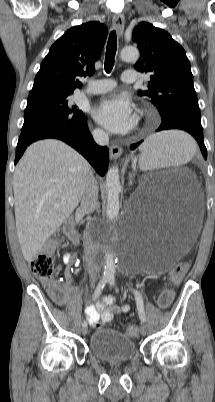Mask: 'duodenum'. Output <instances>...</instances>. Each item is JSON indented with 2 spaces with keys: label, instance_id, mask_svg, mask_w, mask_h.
Masks as SVG:
<instances>
[{
  "label": "duodenum",
  "instance_id": "duodenum-1",
  "mask_svg": "<svg viewBox=\"0 0 215 402\" xmlns=\"http://www.w3.org/2000/svg\"><path fill=\"white\" fill-rule=\"evenodd\" d=\"M65 232L69 239L75 243L79 244L80 243V235L76 229V223L74 219H69L66 224H65Z\"/></svg>",
  "mask_w": 215,
  "mask_h": 402
}]
</instances>
